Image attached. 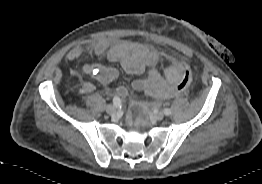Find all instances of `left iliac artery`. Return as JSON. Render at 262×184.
I'll return each mask as SVG.
<instances>
[{
	"instance_id": "1",
	"label": "left iliac artery",
	"mask_w": 262,
	"mask_h": 184,
	"mask_svg": "<svg viewBox=\"0 0 262 184\" xmlns=\"http://www.w3.org/2000/svg\"><path fill=\"white\" fill-rule=\"evenodd\" d=\"M163 112H164V114L167 115V116H168V115H171V113H172L171 110L168 109V108L164 109Z\"/></svg>"
}]
</instances>
